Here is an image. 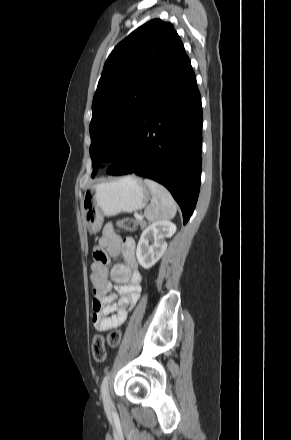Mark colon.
I'll use <instances>...</instances> for the list:
<instances>
[{"label": "colon", "instance_id": "colon-1", "mask_svg": "<svg viewBox=\"0 0 291 440\" xmlns=\"http://www.w3.org/2000/svg\"><path fill=\"white\" fill-rule=\"evenodd\" d=\"M119 227L128 231L135 232L137 230V226L131 219H122L118 223ZM120 334L118 332H112L108 341L110 345L117 346L120 343ZM92 354L96 361L103 362L107 357L106 349H105V338L102 335H95L92 340Z\"/></svg>", "mask_w": 291, "mask_h": 440}]
</instances>
